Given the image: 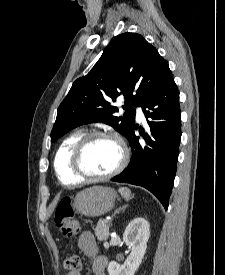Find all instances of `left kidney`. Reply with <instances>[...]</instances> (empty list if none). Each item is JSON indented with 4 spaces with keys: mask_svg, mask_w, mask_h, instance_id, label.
Returning a JSON list of instances; mask_svg holds the SVG:
<instances>
[{
    "mask_svg": "<svg viewBox=\"0 0 225 275\" xmlns=\"http://www.w3.org/2000/svg\"><path fill=\"white\" fill-rule=\"evenodd\" d=\"M150 236V225L144 218H135L125 229L123 241L131 248V253L123 265L112 261L108 265L109 275H134L146 253Z\"/></svg>",
    "mask_w": 225,
    "mask_h": 275,
    "instance_id": "5707ae66",
    "label": "left kidney"
}]
</instances>
